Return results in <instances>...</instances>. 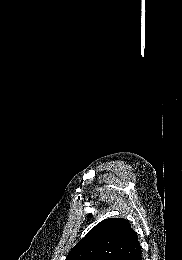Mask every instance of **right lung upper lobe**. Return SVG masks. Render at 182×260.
<instances>
[{"label": "right lung upper lobe", "mask_w": 182, "mask_h": 260, "mask_svg": "<svg viewBox=\"0 0 182 260\" xmlns=\"http://www.w3.org/2000/svg\"><path fill=\"white\" fill-rule=\"evenodd\" d=\"M140 252L137 233L129 221L108 218L94 226L66 260H132Z\"/></svg>", "instance_id": "obj_1"}]
</instances>
